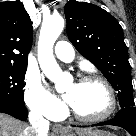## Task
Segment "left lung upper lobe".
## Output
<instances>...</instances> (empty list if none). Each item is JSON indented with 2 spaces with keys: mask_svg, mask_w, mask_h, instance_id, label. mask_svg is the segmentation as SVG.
Instances as JSON below:
<instances>
[{
  "mask_svg": "<svg viewBox=\"0 0 136 136\" xmlns=\"http://www.w3.org/2000/svg\"><path fill=\"white\" fill-rule=\"evenodd\" d=\"M67 35L75 48L91 61L118 92L120 107H135L131 66L123 30L104 9L69 1L64 7Z\"/></svg>",
  "mask_w": 136,
  "mask_h": 136,
  "instance_id": "1",
  "label": "left lung upper lobe"
}]
</instances>
